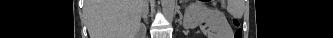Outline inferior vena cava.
Masks as SVG:
<instances>
[{
    "instance_id": "obj_1",
    "label": "inferior vena cava",
    "mask_w": 333,
    "mask_h": 38,
    "mask_svg": "<svg viewBox=\"0 0 333 38\" xmlns=\"http://www.w3.org/2000/svg\"><path fill=\"white\" fill-rule=\"evenodd\" d=\"M148 11H149V9H148V0H143V11H142V13H143V18L144 19H147Z\"/></svg>"
}]
</instances>
